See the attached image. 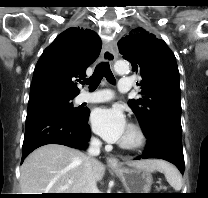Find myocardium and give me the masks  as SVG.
<instances>
[{"label":"myocardium","mask_w":208,"mask_h":198,"mask_svg":"<svg viewBox=\"0 0 208 198\" xmlns=\"http://www.w3.org/2000/svg\"><path fill=\"white\" fill-rule=\"evenodd\" d=\"M128 127L134 132L135 139L130 142L120 141L119 146L129 151H137L144 148L148 142V137L142 126L137 123H130Z\"/></svg>","instance_id":"obj_1"}]
</instances>
